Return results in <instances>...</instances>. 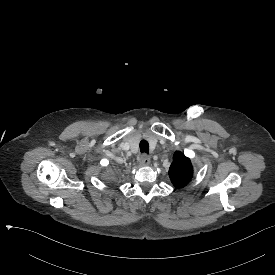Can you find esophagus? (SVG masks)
I'll use <instances>...</instances> for the list:
<instances>
[{
	"label": "esophagus",
	"instance_id": "1",
	"mask_svg": "<svg viewBox=\"0 0 275 275\" xmlns=\"http://www.w3.org/2000/svg\"><path fill=\"white\" fill-rule=\"evenodd\" d=\"M140 164L142 166H148L150 164V158L148 155H142L140 159Z\"/></svg>",
	"mask_w": 275,
	"mask_h": 275
}]
</instances>
